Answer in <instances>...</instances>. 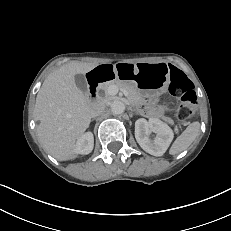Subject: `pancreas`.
<instances>
[{"label": "pancreas", "instance_id": "cf45deb5", "mask_svg": "<svg viewBox=\"0 0 231 231\" xmlns=\"http://www.w3.org/2000/svg\"><path fill=\"white\" fill-rule=\"evenodd\" d=\"M115 85L121 90H126L128 93L127 98L132 104H137L139 101V95L137 93L136 88L129 82L114 80L112 82L104 83L101 88L105 91L106 95H109L108 89L110 86Z\"/></svg>", "mask_w": 231, "mask_h": 231}]
</instances>
